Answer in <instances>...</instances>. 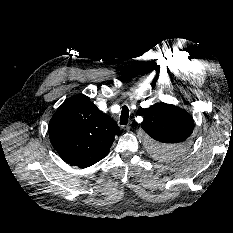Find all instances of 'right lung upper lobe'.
Masks as SVG:
<instances>
[{
    "mask_svg": "<svg viewBox=\"0 0 233 233\" xmlns=\"http://www.w3.org/2000/svg\"><path fill=\"white\" fill-rule=\"evenodd\" d=\"M116 135L120 129L115 121L81 94L65 101L49 122L53 147L65 162L79 168L103 159Z\"/></svg>",
    "mask_w": 233,
    "mask_h": 233,
    "instance_id": "right-lung-upper-lobe-1",
    "label": "right lung upper lobe"
}]
</instances>
